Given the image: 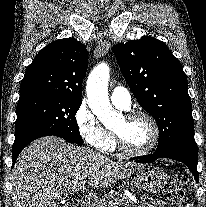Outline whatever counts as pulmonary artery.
<instances>
[{
    "label": "pulmonary artery",
    "instance_id": "1",
    "mask_svg": "<svg viewBox=\"0 0 206 207\" xmlns=\"http://www.w3.org/2000/svg\"><path fill=\"white\" fill-rule=\"evenodd\" d=\"M111 101L114 105L120 107L121 109L128 110L131 105V95L130 92L122 86H116L111 92Z\"/></svg>",
    "mask_w": 206,
    "mask_h": 207
}]
</instances>
